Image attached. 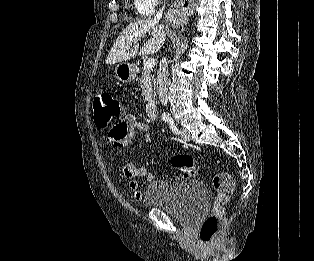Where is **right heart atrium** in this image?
Returning <instances> with one entry per match:
<instances>
[{"label": "right heart atrium", "mask_w": 314, "mask_h": 261, "mask_svg": "<svg viewBox=\"0 0 314 261\" xmlns=\"http://www.w3.org/2000/svg\"><path fill=\"white\" fill-rule=\"evenodd\" d=\"M153 10L157 5H159L163 0H146Z\"/></svg>", "instance_id": "1"}]
</instances>
